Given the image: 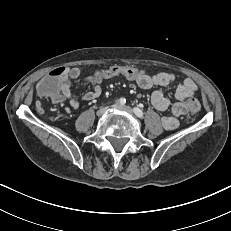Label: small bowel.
<instances>
[{"mask_svg": "<svg viewBox=\"0 0 231 231\" xmlns=\"http://www.w3.org/2000/svg\"><path fill=\"white\" fill-rule=\"evenodd\" d=\"M82 73L79 67L63 68L61 75L57 77V85L61 91V97L56 102L68 101L70 106L74 109L79 108V101L77 95L72 91V80L77 79ZM176 77L172 73L160 72L153 77L150 75L139 76L135 78L134 85L140 91L148 89L166 87L175 82ZM101 82V81H100ZM94 83L91 89L81 96L84 101H92L98 98L102 89L99 83ZM197 90L196 83L190 79H184L178 83L172 92L173 100H171L167 93L163 90H156L152 93L150 101L152 106L158 111H169V115L162 117V125L166 130H173L178 127V117L187 113L188 101L195 98Z\"/></svg>", "mask_w": 231, "mask_h": 231, "instance_id": "obj_1", "label": "small bowel"}]
</instances>
